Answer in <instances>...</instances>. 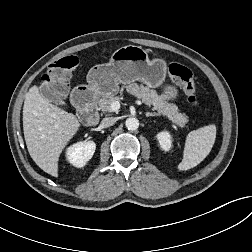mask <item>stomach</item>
<instances>
[{
	"instance_id": "1",
	"label": "stomach",
	"mask_w": 252,
	"mask_h": 252,
	"mask_svg": "<svg viewBox=\"0 0 252 252\" xmlns=\"http://www.w3.org/2000/svg\"><path fill=\"white\" fill-rule=\"evenodd\" d=\"M167 64L163 59H149L141 46L127 45L117 49L109 63L99 64L87 74L88 85H79L73 91L88 92L95 96L108 97L119 91V84L141 81L148 87L156 88L166 78ZM165 94L169 100L178 97L174 86H166Z\"/></svg>"
}]
</instances>
